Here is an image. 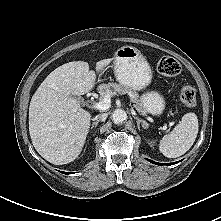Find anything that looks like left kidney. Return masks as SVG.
I'll use <instances>...</instances> for the list:
<instances>
[{
	"instance_id": "1",
	"label": "left kidney",
	"mask_w": 221,
	"mask_h": 221,
	"mask_svg": "<svg viewBox=\"0 0 221 221\" xmlns=\"http://www.w3.org/2000/svg\"><path fill=\"white\" fill-rule=\"evenodd\" d=\"M153 143H154V142H152V141L150 142L151 146L153 145Z\"/></svg>"
}]
</instances>
